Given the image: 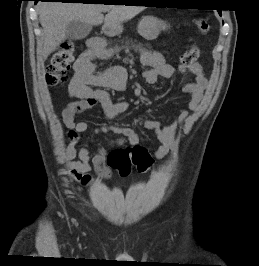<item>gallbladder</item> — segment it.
<instances>
[{"label": "gallbladder", "mask_w": 259, "mask_h": 266, "mask_svg": "<svg viewBox=\"0 0 259 266\" xmlns=\"http://www.w3.org/2000/svg\"><path fill=\"white\" fill-rule=\"evenodd\" d=\"M92 30V25L82 21L74 20L66 26L65 36L70 40H81L86 38Z\"/></svg>", "instance_id": "1"}]
</instances>
